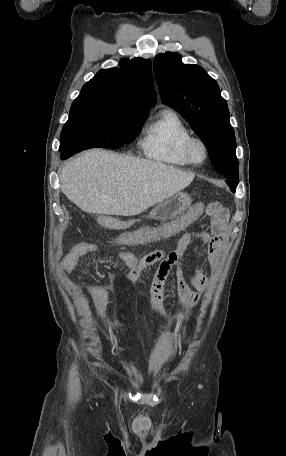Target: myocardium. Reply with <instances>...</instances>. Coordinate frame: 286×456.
<instances>
[{
    "mask_svg": "<svg viewBox=\"0 0 286 456\" xmlns=\"http://www.w3.org/2000/svg\"><path fill=\"white\" fill-rule=\"evenodd\" d=\"M195 144H199L202 147L204 153L203 159L199 162L195 161L192 157V148ZM183 151L188 163L193 166L203 165L206 162L209 154L206 142L202 138L196 136H190L185 141Z\"/></svg>",
    "mask_w": 286,
    "mask_h": 456,
    "instance_id": "obj_1",
    "label": "myocardium"
}]
</instances>
